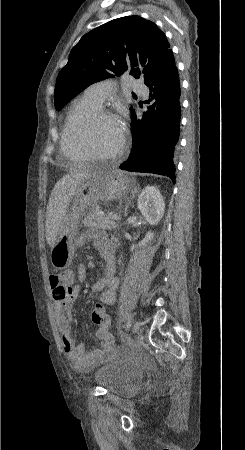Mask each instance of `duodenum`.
Instances as JSON below:
<instances>
[{"label": "duodenum", "instance_id": "obj_1", "mask_svg": "<svg viewBox=\"0 0 245 450\" xmlns=\"http://www.w3.org/2000/svg\"><path fill=\"white\" fill-rule=\"evenodd\" d=\"M108 264V261L107 260H105V265H107Z\"/></svg>", "mask_w": 245, "mask_h": 450}]
</instances>
